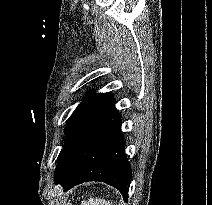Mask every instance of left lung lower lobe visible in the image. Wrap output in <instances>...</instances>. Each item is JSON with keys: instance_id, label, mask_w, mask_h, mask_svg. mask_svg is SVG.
Returning a JSON list of instances; mask_svg holds the SVG:
<instances>
[{"instance_id": "left-lung-lower-lobe-1", "label": "left lung lower lobe", "mask_w": 212, "mask_h": 205, "mask_svg": "<svg viewBox=\"0 0 212 205\" xmlns=\"http://www.w3.org/2000/svg\"><path fill=\"white\" fill-rule=\"evenodd\" d=\"M121 115L111 94L105 93L79 124L56 184L64 191L73 186L101 181L117 188L127 201L131 168L121 136Z\"/></svg>"}]
</instances>
